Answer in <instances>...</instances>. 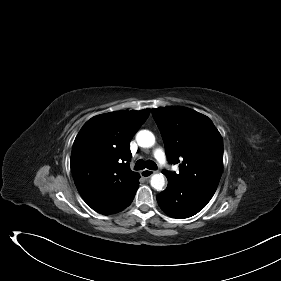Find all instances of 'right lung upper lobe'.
I'll list each match as a JSON object with an SVG mask.
<instances>
[{
  "label": "right lung upper lobe",
  "instance_id": "cb5924a9",
  "mask_svg": "<svg viewBox=\"0 0 281 281\" xmlns=\"http://www.w3.org/2000/svg\"><path fill=\"white\" fill-rule=\"evenodd\" d=\"M149 114L145 109L97 115L76 136L70 160L73 179L96 212L114 214L132 202L140 176L130 169V141Z\"/></svg>",
  "mask_w": 281,
  "mask_h": 281
}]
</instances>
